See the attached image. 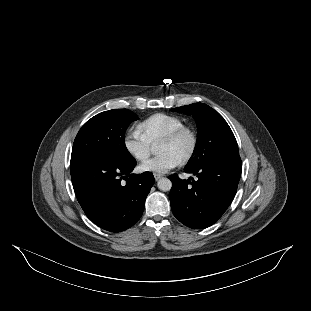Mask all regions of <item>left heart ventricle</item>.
<instances>
[{
	"label": "left heart ventricle",
	"mask_w": 311,
	"mask_h": 311,
	"mask_svg": "<svg viewBox=\"0 0 311 311\" xmlns=\"http://www.w3.org/2000/svg\"><path fill=\"white\" fill-rule=\"evenodd\" d=\"M192 145V138L189 134H185L181 137V139L174 144L169 143H159L158 145V153H166L171 152L175 154L180 160L189 152Z\"/></svg>",
	"instance_id": "b2bd125f"
}]
</instances>
